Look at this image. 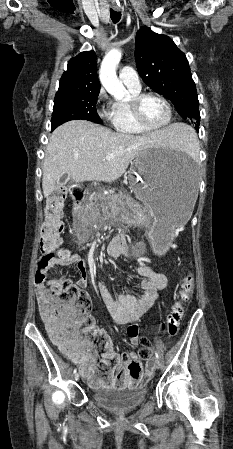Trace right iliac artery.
<instances>
[{
  "instance_id": "82829eb1",
  "label": "right iliac artery",
  "mask_w": 233,
  "mask_h": 449,
  "mask_svg": "<svg viewBox=\"0 0 233 449\" xmlns=\"http://www.w3.org/2000/svg\"><path fill=\"white\" fill-rule=\"evenodd\" d=\"M77 372V369H74L73 373L75 374Z\"/></svg>"
}]
</instances>
